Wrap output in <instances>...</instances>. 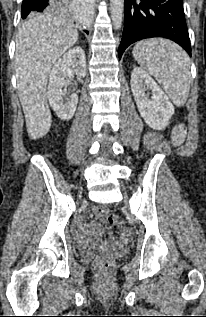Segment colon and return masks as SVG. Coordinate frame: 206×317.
I'll use <instances>...</instances> for the list:
<instances>
[{"label": "colon", "instance_id": "colon-1", "mask_svg": "<svg viewBox=\"0 0 206 317\" xmlns=\"http://www.w3.org/2000/svg\"><path fill=\"white\" fill-rule=\"evenodd\" d=\"M185 139V128L183 125H178L174 128L172 132V141L175 145H180L183 143ZM95 214L100 217H106L108 220L117 225V226H123L124 221L121 217L114 215V216H108V210L104 206H97L95 208ZM95 266L96 268L101 272H107L113 268V261L106 256H99L95 260Z\"/></svg>", "mask_w": 206, "mask_h": 317}]
</instances>
